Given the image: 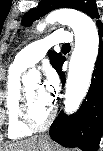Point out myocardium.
Segmentation results:
<instances>
[{
    "label": "myocardium",
    "instance_id": "f54148a6",
    "mask_svg": "<svg viewBox=\"0 0 103 151\" xmlns=\"http://www.w3.org/2000/svg\"><path fill=\"white\" fill-rule=\"evenodd\" d=\"M57 107L53 103L48 118L43 123H37L33 120L30 110V102L27 87L22 86L19 104V118L24 127L31 131H42L47 129L53 122L56 115Z\"/></svg>",
    "mask_w": 103,
    "mask_h": 151
}]
</instances>
